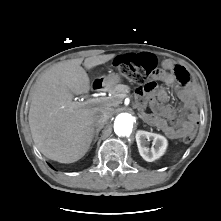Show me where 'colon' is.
<instances>
[{
    "label": "colon",
    "instance_id": "colon-1",
    "mask_svg": "<svg viewBox=\"0 0 221 221\" xmlns=\"http://www.w3.org/2000/svg\"><path fill=\"white\" fill-rule=\"evenodd\" d=\"M118 71L133 83L143 84L144 89L149 91L154 88V79L159 76L156 58L149 53H142L130 61L127 57L119 58L116 61ZM185 85L184 82L179 83ZM194 128H188L182 135L185 142H190L194 138Z\"/></svg>",
    "mask_w": 221,
    "mask_h": 221
}]
</instances>
